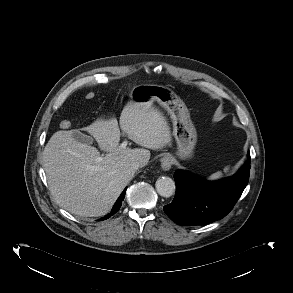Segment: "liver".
I'll return each instance as SVG.
<instances>
[{"instance_id":"1","label":"liver","mask_w":293,"mask_h":293,"mask_svg":"<svg viewBox=\"0 0 293 293\" xmlns=\"http://www.w3.org/2000/svg\"><path fill=\"white\" fill-rule=\"evenodd\" d=\"M120 127L142 148H120L121 133L115 117L98 118L83 128L107 152L105 156L97 148L76 141L72 137L74 130L52 135L43 152V167L51 194L63 209L82 217L107 214L133 178L132 164L139 160L148 163V149L171 145L170 127L153 107L129 102L122 110Z\"/></svg>"}]
</instances>
